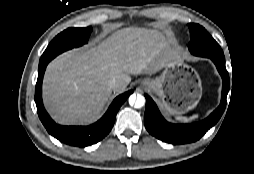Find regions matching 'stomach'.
<instances>
[{"instance_id": "obj_1", "label": "stomach", "mask_w": 254, "mask_h": 174, "mask_svg": "<svg viewBox=\"0 0 254 174\" xmlns=\"http://www.w3.org/2000/svg\"><path fill=\"white\" fill-rule=\"evenodd\" d=\"M163 68L159 77L143 80L146 88L159 96L162 108L171 115L195 108L202 96L198 73L177 56L168 59Z\"/></svg>"}]
</instances>
